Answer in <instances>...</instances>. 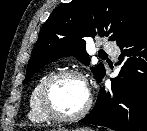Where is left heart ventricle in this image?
Returning a JSON list of instances; mask_svg holds the SVG:
<instances>
[{
	"label": "left heart ventricle",
	"mask_w": 147,
	"mask_h": 131,
	"mask_svg": "<svg viewBox=\"0 0 147 131\" xmlns=\"http://www.w3.org/2000/svg\"><path fill=\"white\" fill-rule=\"evenodd\" d=\"M86 84L75 77L58 82L51 93L54 107L62 114L72 115L84 108L88 101Z\"/></svg>",
	"instance_id": "1"
}]
</instances>
